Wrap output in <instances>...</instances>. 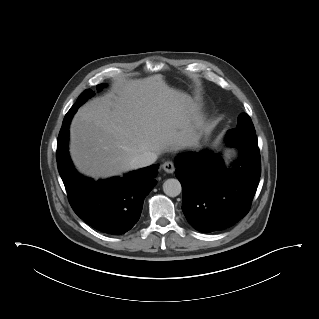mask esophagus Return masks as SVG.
I'll list each match as a JSON object with an SVG mask.
<instances>
[{
	"instance_id": "obj_1",
	"label": "esophagus",
	"mask_w": 319,
	"mask_h": 319,
	"mask_svg": "<svg viewBox=\"0 0 319 319\" xmlns=\"http://www.w3.org/2000/svg\"><path fill=\"white\" fill-rule=\"evenodd\" d=\"M163 170L166 173H173L175 171V165L172 161H166L163 165H162Z\"/></svg>"
}]
</instances>
